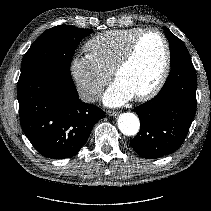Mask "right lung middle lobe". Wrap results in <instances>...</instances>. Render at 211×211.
<instances>
[{
	"label": "right lung middle lobe",
	"instance_id": "right-lung-middle-lobe-1",
	"mask_svg": "<svg viewBox=\"0 0 211 211\" xmlns=\"http://www.w3.org/2000/svg\"><path fill=\"white\" fill-rule=\"evenodd\" d=\"M89 29L59 25L42 33L25 53L20 77L41 68H53L70 74V64L78 44L91 34Z\"/></svg>",
	"mask_w": 211,
	"mask_h": 211
}]
</instances>
